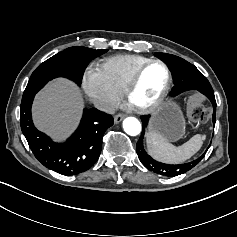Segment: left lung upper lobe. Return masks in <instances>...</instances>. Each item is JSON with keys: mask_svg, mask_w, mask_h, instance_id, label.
Instances as JSON below:
<instances>
[{"mask_svg": "<svg viewBox=\"0 0 237 237\" xmlns=\"http://www.w3.org/2000/svg\"><path fill=\"white\" fill-rule=\"evenodd\" d=\"M155 55L161 60H163L172 71L175 84L171 93L172 97L190 90H197L204 95H207L209 92H213L212 86L207 80V78L191 63L178 56L171 54L156 53ZM141 120L143 123V131L141 135L143 136L145 127L148 124L149 117L142 116ZM142 136L138 140L136 146L139 160L148 170L153 171L157 174L165 176H177L183 174L192 169L196 164H198L205 155L204 153L197 160L185 164L170 165L160 163L152 159L146 153L142 144Z\"/></svg>", "mask_w": 237, "mask_h": 237, "instance_id": "1", "label": "left lung upper lobe"}]
</instances>
